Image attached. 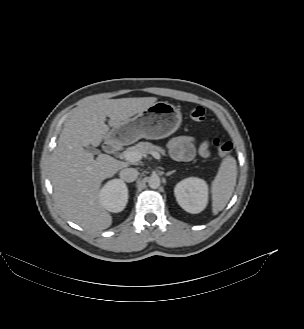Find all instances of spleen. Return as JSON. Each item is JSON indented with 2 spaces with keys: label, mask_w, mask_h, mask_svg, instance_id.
Returning a JSON list of instances; mask_svg holds the SVG:
<instances>
[{
  "label": "spleen",
  "mask_w": 304,
  "mask_h": 329,
  "mask_svg": "<svg viewBox=\"0 0 304 329\" xmlns=\"http://www.w3.org/2000/svg\"><path fill=\"white\" fill-rule=\"evenodd\" d=\"M237 179V164L234 157L226 156L211 184L212 212L216 215L230 200Z\"/></svg>",
  "instance_id": "3e777b00"
}]
</instances>
